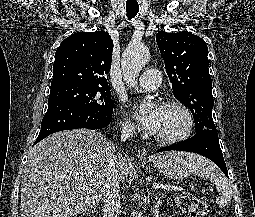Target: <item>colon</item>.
I'll list each match as a JSON object with an SVG mask.
<instances>
[{
  "label": "colon",
  "instance_id": "obj_1",
  "mask_svg": "<svg viewBox=\"0 0 255 217\" xmlns=\"http://www.w3.org/2000/svg\"><path fill=\"white\" fill-rule=\"evenodd\" d=\"M177 205L192 217H206L208 215L205 203L191 193H180L177 196Z\"/></svg>",
  "mask_w": 255,
  "mask_h": 217
}]
</instances>
